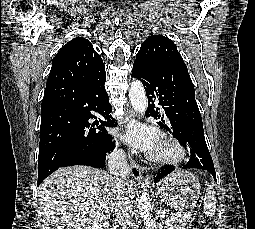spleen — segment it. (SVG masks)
Wrapping results in <instances>:
<instances>
[{
  "label": "spleen",
  "mask_w": 255,
  "mask_h": 229,
  "mask_svg": "<svg viewBox=\"0 0 255 229\" xmlns=\"http://www.w3.org/2000/svg\"><path fill=\"white\" fill-rule=\"evenodd\" d=\"M215 209H216L215 191L212 186H209L205 193L203 210L207 216L212 217L215 214Z\"/></svg>",
  "instance_id": "1"
}]
</instances>
